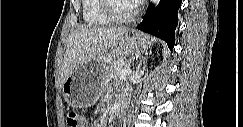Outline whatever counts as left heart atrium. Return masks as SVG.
I'll return each mask as SVG.
<instances>
[{
  "label": "left heart atrium",
  "mask_w": 243,
  "mask_h": 127,
  "mask_svg": "<svg viewBox=\"0 0 243 127\" xmlns=\"http://www.w3.org/2000/svg\"><path fill=\"white\" fill-rule=\"evenodd\" d=\"M131 2L134 3V4H138V3L141 2V0H132Z\"/></svg>",
  "instance_id": "obj_1"
}]
</instances>
